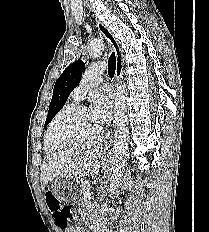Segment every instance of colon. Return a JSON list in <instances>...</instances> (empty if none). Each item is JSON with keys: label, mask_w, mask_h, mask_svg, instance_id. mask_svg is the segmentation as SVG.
<instances>
[{"label": "colon", "mask_w": 209, "mask_h": 232, "mask_svg": "<svg viewBox=\"0 0 209 232\" xmlns=\"http://www.w3.org/2000/svg\"><path fill=\"white\" fill-rule=\"evenodd\" d=\"M44 198H47V203L52 211L53 218L57 226L62 228L68 227L71 220V210L67 206H61L59 201L53 197V193H44Z\"/></svg>", "instance_id": "5ec220e1"}]
</instances>
